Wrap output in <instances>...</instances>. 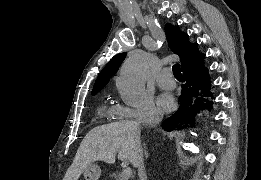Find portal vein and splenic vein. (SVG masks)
Instances as JSON below:
<instances>
[{
  "mask_svg": "<svg viewBox=\"0 0 261 180\" xmlns=\"http://www.w3.org/2000/svg\"><path fill=\"white\" fill-rule=\"evenodd\" d=\"M132 176V170L131 168H123L121 174H120V180H129Z\"/></svg>",
  "mask_w": 261,
  "mask_h": 180,
  "instance_id": "portal-vein-and-splenic-vein-1",
  "label": "portal vein and splenic vein"
}]
</instances>
